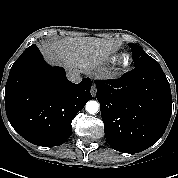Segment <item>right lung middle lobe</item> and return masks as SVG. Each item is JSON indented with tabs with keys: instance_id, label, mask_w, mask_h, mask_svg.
I'll return each mask as SVG.
<instances>
[{
	"instance_id": "obj_1",
	"label": "right lung middle lobe",
	"mask_w": 178,
	"mask_h": 178,
	"mask_svg": "<svg viewBox=\"0 0 178 178\" xmlns=\"http://www.w3.org/2000/svg\"><path fill=\"white\" fill-rule=\"evenodd\" d=\"M36 49H37V46L33 44L30 47H28L23 53L32 52Z\"/></svg>"
}]
</instances>
